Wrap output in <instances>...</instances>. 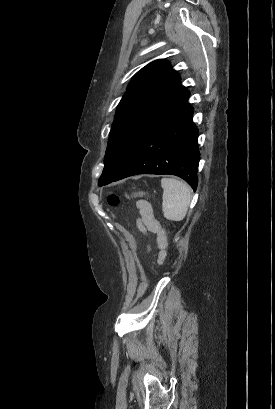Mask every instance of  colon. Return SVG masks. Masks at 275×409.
I'll return each instance as SVG.
<instances>
[{"mask_svg": "<svg viewBox=\"0 0 275 409\" xmlns=\"http://www.w3.org/2000/svg\"><path fill=\"white\" fill-rule=\"evenodd\" d=\"M137 194H140L141 196H143V195H147L148 192H147V191H143V192H141V193L131 194V195H129V196H133V195H137ZM108 203H109V205H110L111 207H117L118 204H119V197H118L117 195H115V194L109 195V196H108Z\"/></svg>", "mask_w": 275, "mask_h": 409, "instance_id": "obj_1", "label": "colon"}]
</instances>
